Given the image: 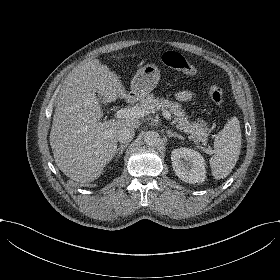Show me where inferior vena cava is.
Returning <instances> with one entry per match:
<instances>
[{"label": "inferior vena cava", "mask_w": 280, "mask_h": 280, "mask_svg": "<svg viewBox=\"0 0 280 280\" xmlns=\"http://www.w3.org/2000/svg\"><path fill=\"white\" fill-rule=\"evenodd\" d=\"M134 135H135L134 128L124 127L117 131V140L120 143L128 144L129 142L132 141Z\"/></svg>", "instance_id": "602c4592"}]
</instances>
